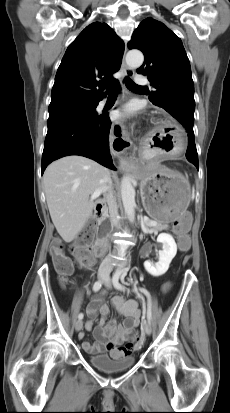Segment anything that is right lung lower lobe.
I'll return each instance as SVG.
<instances>
[{
  "mask_svg": "<svg viewBox=\"0 0 230 413\" xmlns=\"http://www.w3.org/2000/svg\"><path fill=\"white\" fill-rule=\"evenodd\" d=\"M99 101L94 103L97 107ZM41 170L54 160L80 155L116 170L109 152L110 119L107 114H72L47 122Z\"/></svg>",
  "mask_w": 230,
  "mask_h": 413,
  "instance_id": "right-lung-lower-lobe-1",
  "label": "right lung lower lobe"
}]
</instances>
